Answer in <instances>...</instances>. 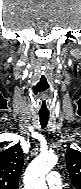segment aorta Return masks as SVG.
<instances>
[{
    "label": "aorta",
    "instance_id": "aorta-1",
    "mask_svg": "<svg viewBox=\"0 0 81 189\" xmlns=\"http://www.w3.org/2000/svg\"><path fill=\"white\" fill-rule=\"evenodd\" d=\"M53 153L40 154L27 167L24 175L25 189H48L45 176L57 164Z\"/></svg>",
    "mask_w": 81,
    "mask_h": 189
}]
</instances>
